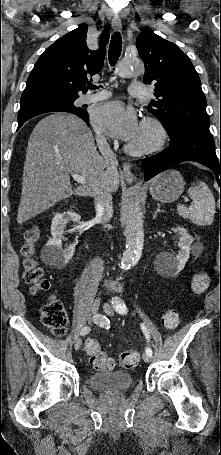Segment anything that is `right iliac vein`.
Listing matches in <instances>:
<instances>
[{"label":"right iliac vein","instance_id":"right-iliac-vein-1","mask_svg":"<svg viewBox=\"0 0 221 455\" xmlns=\"http://www.w3.org/2000/svg\"><path fill=\"white\" fill-rule=\"evenodd\" d=\"M99 306H100V299L99 298H96L92 304V311L94 313H96L99 309ZM81 344H82V340L81 338H77L76 341H75V344H74V347L76 350H79L80 347H81Z\"/></svg>","mask_w":221,"mask_h":455}]
</instances>
